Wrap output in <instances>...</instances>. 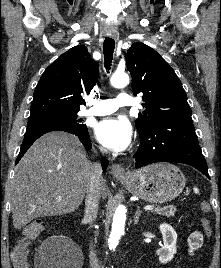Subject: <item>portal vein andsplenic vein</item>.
<instances>
[{"label": "portal vein and splenic vein", "instance_id": "portal-vein-and-splenic-vein-1", "mask_svg": "<svg viewBox=\"0 0 221 268\" xmlns=\"http://www.w3.org/2000/svg\"><path fill=\"white\" fill-rule=\"evenodd\" d=\"M58 199L61 200V198H58ZM152 209H154V206L152 205H147L144 207V210H152Z\"/></svg>", "mask_w": 221, "mask_h": 268}]
</instances>
